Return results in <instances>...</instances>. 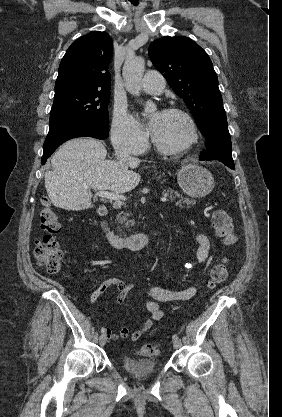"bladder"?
Listing matches in <instances>:
<instances>
[{
  "label": "bladder",
  "mask_w": 282,
  "mask_h": 417,
  "mask_svg": "<svg viewBox=\"0 0 282 417\" xmlns=\"http://www.w3.org/2000/svg\"><path fill=\"white\" fill-rule=\"evenodd\" d=\"M121 366L132 377L143 379L155 372L157 369V361L124 356L121 361Z\"/></svg>",
  "instance_id": "31cf9c89"
}]
</instances>
